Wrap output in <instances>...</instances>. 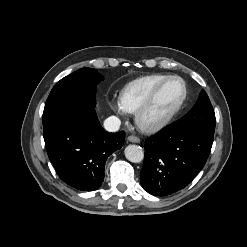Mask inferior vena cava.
<instances>
[{
    "mask_svg": "<svg viewBox=\"0 0 247 247\" xmlns=\"http://www.w3.org/2000/svg\"><path fill=\"white\" fill-rule=\"evenodd\" d=\"M121 125V121L116 116H110L104 121V128L108 132H116L118 131L119 127Z\"/></svg>",
    "mask_w": 247,
    "mask_h": 247,
    "instance_id": "1",
    "label": "inferior vena cava"
}]
</instances>
